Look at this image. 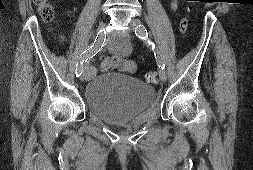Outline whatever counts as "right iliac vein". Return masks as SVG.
<instances>
[{
	"instance_id": "63e3f726",
	"label": "right iliac vein",
	"mask_w": 253,
	"mask_h": 170,
	"mask_svg": "<svg viewBox=\"0 0 253 170\" xmlns=\"http://www.w3.org/2000/svg\"><path fill=\"white\" fill-rule=\"evenodd\" d=\"M91 76H92V71L90 70L89 64L87 63L83 67V75H82L81 81H87L91 78Z\"/></svg>"
}]
</instances>
